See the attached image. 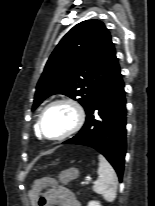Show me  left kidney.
<instances>
[{
    "label": "left kidney",
    "mask_w": 155,
    "mask_h": 206,
    "mask_svg": "<svg viewBox=\"0 0 155 206\" xmlns=\"http://www.w3.org/2000/svg\"><path fill=\"white\" fill-rule=\"evenodd\" d=\"M88 206H102V205L98 201H90L88 203Z\"/></svg>",
    "instance_id": "5707ae66"
}]
</instances>
